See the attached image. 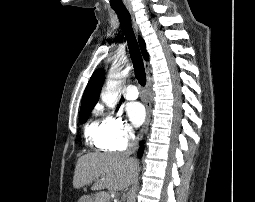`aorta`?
<instances>
[{
    "label": "aorta",
    "mask_w": 255,
    "mask_h": 202,
    "mask_svg": "<svg viewBox=\"0 0 255 202\" xmlns=\"http://www.w3.org/2000/svg\"><path fill=\"white\" fill-rule=\"evenodd\" d=\"M125 64L126 61L118 60L114 62L109 71L107 87L105 91L101 94L102 101L108 107H114L120 99L123 78L127 73V70L123 69Z\"/></svg>",
    "instance_id": "aorta-1"
}]
</instances>
